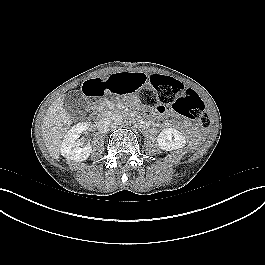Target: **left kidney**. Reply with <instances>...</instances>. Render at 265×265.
<instances>
[{
  "instance_id": "1",
  "label": "left kidney",
  "mask_w": 265,
  "mask_h": 265,
  "mask_svg": "<svg viewBox=\"0 0 265 265\" xmlns=\"http://www.w3.org/2000/svg\"><path fill=\"white\" fill-rule=\"evenodd\" d=\"M157 143L162 150L171 151L183 148L186 144V139L180 131L166 128L160 132Z\"/></svg>"
}]
</instances>
